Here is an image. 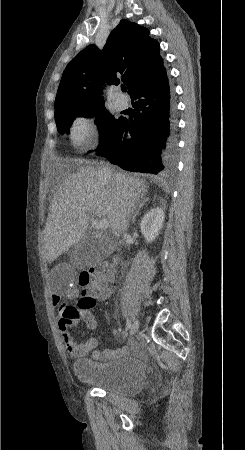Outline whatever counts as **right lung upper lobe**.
Masks as SVG:
<instances>
[{
	"mask_svg": "<svg viewBox=\"0 0 245 450\" xmlns=\"http://www.w3.org/2000/svg\"><path fill=\"white\" fill-rule=\"evenodd\" d=\"M149 31L126 20L112 31L102 51L95 45L82 50L66 67L57 91L55 106L103 105L102 86L122 82L131 95L137 87L163 67L159 43Z\"/></svg>",
	"mask_w": 245,
	"mask_h": 450,
	"instance_id": "cb5924a9",
	"label": "right lung upper lobe"
}]
</instances>
